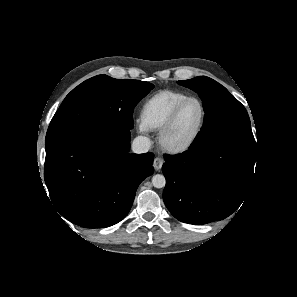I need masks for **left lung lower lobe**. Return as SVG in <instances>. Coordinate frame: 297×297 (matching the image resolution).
<instances>
[{"label": "left lung lower lobe", "mask_w": 297, "mask_h": 297, "mask_svg": "<svg viewBox=\"0 0 297 297\" xmlns=\"http://www.w3.org/2000/svg\"><path fill=\"white\" fill-rule=\"evenodd\" d=\"M165 161L166 207L184 223L206 224L228 217L245 200L253 180L256 147L216 140L165 156Z\"/></svg>", "instance_id": "1"}]
</instances>
